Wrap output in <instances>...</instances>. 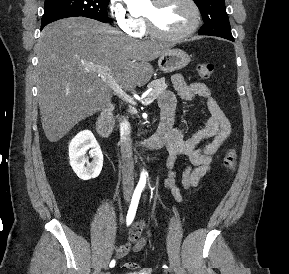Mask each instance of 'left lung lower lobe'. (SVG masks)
<instances>
[{
  "instance_id": "1",
  "label": "left lung lower lobe",
  "mask_w": 289,
  "mask_h": 274,
  "mask_svg": "<svg viewBox=\"0 0 289 274\" xmlns=\"http://www.w3.org/2000/svg\"><path fill=\"white\" fill-rule=\"evenodd\" d=\"M225 39H228V40H231V41H234V38L233 37H227Z\"/></svg>"
}]
</instances>
